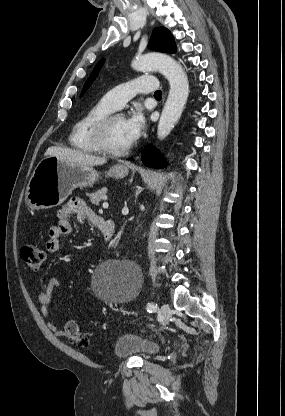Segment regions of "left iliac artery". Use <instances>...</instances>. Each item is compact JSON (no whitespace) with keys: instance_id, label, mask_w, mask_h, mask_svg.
<instances>
[{"instance_id":"1","label":"left iliac artery","mask_w":285,"mask_h":416,"mask_svg":"<svg viewBox=\"0 0 285 416\" xmlns=\"http://www.w3.org/2000/svg\"><path fill=\"white\" fill-rule=\"evenodd\" d=\"M146 309L149 313L155 312L157 310V304L150 302L147 304Z\"/></svg>"}]
</instances>
